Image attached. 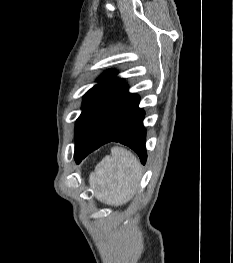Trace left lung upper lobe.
Listing matches in <instances>:
<instances>
[{
    "mask_svg": "<svg viewBox=\"0 0 233 263\" xmlns=\"http://www.w3.org/2000/svg\"><path fill=\"white\" fill-rule=\"evenodd\" d=\"M116 71H107L99 84L91 88L83 98L82 113L76 121V148H82L89 140L93 129L107 106L123 88V79L115 78Z\"/></svg>",
    "mask_w": 233,
    "mask_h": 263,
    "instance_id": "left-lung-upper-lobe-1",
    "label": "left lung upper lobe"
}]
</instances>
